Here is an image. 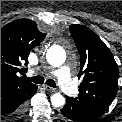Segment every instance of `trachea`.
I'll use <instances>...</instances> for the list:
<instances>
[{"label": "trachea", "mask_w": 122, "mask_h": 122, "mask_svg": "<svg viewBox=\"0 0 122 122\" xmlns=\"http://www.w3.org/2000/svg\"><path fill=\"white\" fill-rule=\"evenodd\" d=\"M27 79L30 80L33 83H36V84H41V83L44 82V78L42 76H35V77L27 78ZM46 84L49 85L50 87L56 88L55 81H53L51 79H48L46 81Z\"/></svg>", "instance_id": "1"}]
</instances>
